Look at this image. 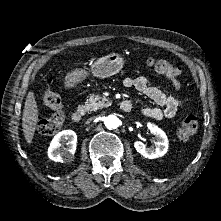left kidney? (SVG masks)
Listing matches in <instances>:
<instances>
[{
	"label": "left kidney",
	"mask_w": 221,
	"mask_h": 221,
	"mask_svg": "<svg viewBox=\"0 0 221 221\" xmlns=\"http://www.w3.org/2000/svg\"><path fill=\"white\" fill-rule=\"evenodd\" d=\"M148 129L157 140L156 148H147L141 141H135L134 147L138 153L148 159H154L164 156L168 151V139L165 132L155 124L148 123Z\"/></svg>",
	"instance_id": "5707ae66"
}]
</instances>
